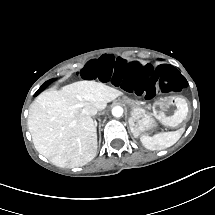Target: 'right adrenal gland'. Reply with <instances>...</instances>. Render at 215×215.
Returning <instances> with one entry per match:
<instances>
[{
	"label": "right adrenal gland",
	"mask_w": 215,
	"mask_h": 215,
	"mask_svg": "<svg viewBox=\"0 0 215 215\" xmlns=\"http://www.w3.org/2000/svg\"><path fill=\"white\" fill-rule=\"evenodd\" d=\"M94 126H95V128L97 127V122H96V120H94Z\"/></svg>",
	"instance_id": "obj_1"
}]
</instances>
